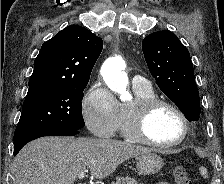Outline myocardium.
<instances>
[{
    "mask_svg": "<svg viewBox=\"0 0 224 184\" xmlns=\"http://www.w3.org/2000/svg\"><path fill=\"white\" fill-rule=\"evenodd\" d=\"M162 107L172 110L181 120L183 132L181 137L170 143H159L154 141L148 134V123L152 115ZM190 131L189 120L184 112L174 103L161 99L151 98L134 104L131 108L128 120V134L130 138L158 149H170L183 143Z\"/></svg>",
    "mask_w": 224,
    "mask_h": 184,
    "instance_id": "f54148a6",
    "label": "myocardium"
}]
</instances>
